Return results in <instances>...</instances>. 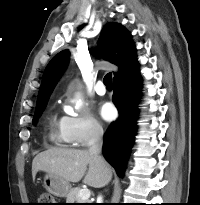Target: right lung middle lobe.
Wrapping results in <instances>:
<instances>
[{
	"label": "right lung middle lobe",
	"instance_id": "obj_1",
	"mask_svg": "<svg viewBox=\"0 0 200 205\" xmlns=\"http://www.w3.org/2000/svg\"><path fill=\"white\" fill-rule=\"evenodd\" d=\"M47 101H48V98L37 103L36 109H35V115L33 118V124H35L37 119L41 116V113L43 109L45 108Z\"/></svg>",
	"mask_w": 200,
	"mask_h": 205
}]
</instances>
